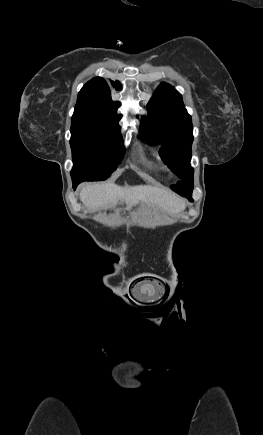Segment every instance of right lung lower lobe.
<instances>
[{
    "label": "right lung lower lobe",
    "mask_w": 263,
    "mask_h": 435,
    "mask_svg": "<svg viewBox=\"0 0 263 435\" xmlns=\"http://www.w3.org/2000/svg\"><path fill=\"white\" fill-rule=\"evenodd\" d=\"M82 181H73V188L76 189V187L78 186L79 183H81Z\"/></svg>",
    "instance_id": "1"
}]
</instances>
